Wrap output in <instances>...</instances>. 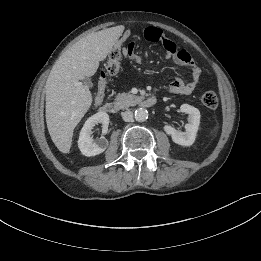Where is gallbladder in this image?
Returning <instances> with one entry per match:
<instances>
[{"label":"gallbladder","mask_w":261,"mask_h":261,"mask_svg":"<svg viewBox=\"0 0 261 261\" xmlns=\"http://www.w3.org/2000/svg\"><path fill=\"white\" fill-rule=\"evenodd\" d=\"M82 82H83L84 85H86L88 87L92 86V82L89 78H84Z\"/></svg>","instance_id":"bac80fb5"}]
</instances>
